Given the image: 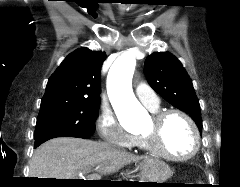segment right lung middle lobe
Wrapping results in <instances>:
<instances>
[{
  "label": "right lung middle lobe",
  "mask_w": 240,
  "mask_h": 187,
  "mask_svg": "<svg viewBox=\"0 0 240 187\" xmlns=\"http://www.w3.org/2000/svg\"><path fill=\"white\" fill-rule=\"evenodd\" d=\"M99 105L100 102H76L41 106L35 139L53 133L89 138L95 131Z\"/></svg>",
  "instance_id": "1"
}]
</instances>
